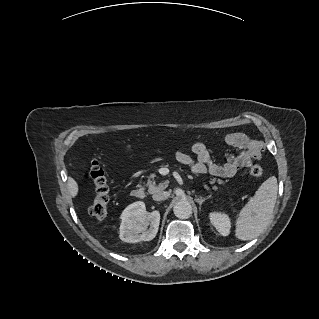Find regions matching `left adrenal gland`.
Listing matches in <instances>:
<instances>
[{
    "mask_svg": "<svg viewBox=\"0 0 319 319\" xmlns=\"http://www.w3.org/2000/svg\"><path fill=\"white\" fill-rule=\"evenodd\" d=\"M209 198H210V196H207L206 198L200 197V198H197V199H196V202L199 203L200 208H201L202 204H203L206 200H208Z\"/></svg>",
    "mask_w": 319,
    "mask_h": 319,
    "instance_id": "1",
    "label": "left adrenal gland"
}]
</instances>
